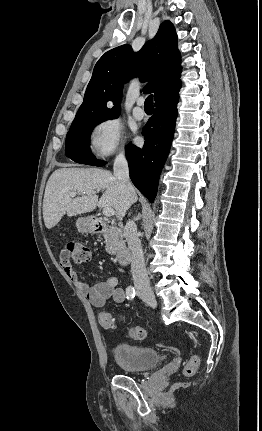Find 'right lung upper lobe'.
I'll list each match as a JSON object with an SVG mask.
<instances>
[{
	"label": "right lung upper lobe",
	"instance_id": "right-lung-upper-lobe-1",
	"mask_svg": "<svg viewBox=\"0 0 262 431\" xmlns=\"http://www.w3.org/2000/svg\"><path fill=\"white\" fill-rule=\"evenodd\" d=\"M181 70L175 28L164 21L139 52L134 53L130 45H121L98 60L75 119L119 116L123 85L133 76L149 81L143 90L154 92L157 102L179 91Z\"/></svg>",
	"mask_w": 262,
	"mask_h": 431
}]
</instances>
